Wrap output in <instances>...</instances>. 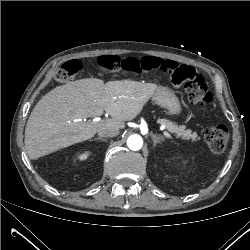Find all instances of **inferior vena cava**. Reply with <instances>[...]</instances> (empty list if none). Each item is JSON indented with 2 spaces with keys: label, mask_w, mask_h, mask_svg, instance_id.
<instances>
[{
  "label": "inferior vena cava",
  "mask_w": 250,
  "mask_h": 250,
  "mask_svg": "<svg viewBox=\"0 0 250 250\" xmlns=\"http://www.w3.org/2000/svg\"><path fill=\"white\" fill-rule=\"evenodd\" d=\"M100 137H115L119 135V129L117 128H107L98 131Z\"/></svg>",
  "instance_id": "602c4592"
}]
</instances>
